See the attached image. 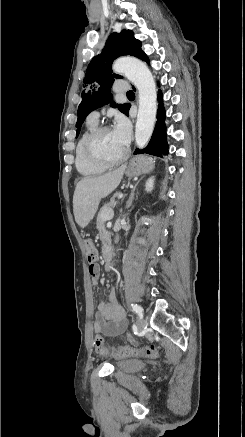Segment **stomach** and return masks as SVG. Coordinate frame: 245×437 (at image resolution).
<instances>
[{
	"label": "stomach",
	"mask_w": 245,
	"mask_h": 437,
	"mask_svg": "<svg viewBox=\"0 0 245 437\" xmlns=\"http://www.w3.org/2000/svg\"><path fill=\"white\" fill-rule=\"evenodd\" d=\"M153 167L154 165L150 158L146 156H137L129 162L125 174L128 178H133L150 172Z\"/></svg>",
	"instance_id": "obj_1"
}]
</instances>
